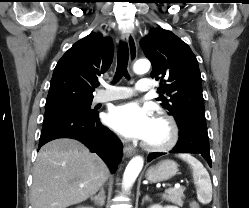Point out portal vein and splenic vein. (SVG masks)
Returning a JSON list of instances; mask_svg holds the SVG:
<instances>
[{
	"label": "portal vein and splenic vein",
	"mask_w": 249,
	"mask_h": 208,
	"mask_svg": "<svg viewBox=\"0 0 249 208\" xmlns=\"http://www.w3.org/2000/svg\"><path fill=\"white\" fill-rule=\"evenodd\" d=\"M80 187H83V185H81ZM179 188H180V184L176 183L175 186H174V189H179Z\"/></svg>",
	"instance_id": "obj_1"
}]
</instances>
